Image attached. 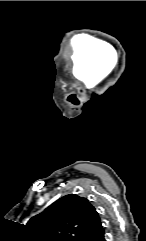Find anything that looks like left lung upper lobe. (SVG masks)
<instances>
[{
  "instance_id": "obj_1",
  "label": "left lung upper lobe",
  "mask_w": 146,
  "mask_h": 241,
  "mask_svg": "<svg viewBox=\"0 0 146 241\" xmlns=\"http://www.w3.org/2000/svg\"><path fill=\"white\" fill-rule=\"evenodd\" d=\"M100 225L95 208L75 194L58 199L27 223L36 241H80Z\"/></svg>"
}]
</instances>
